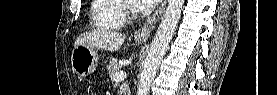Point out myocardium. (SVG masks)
Instances as JSON below:
<instances>
[{
  "label": "myocardium",
  "mask_w": 277,
  "mask_h": 95,
  "mask_svg": "<svg viewBox=\"0 0 277 95\" xmlns=\"http://www.w3.org/2000/svg\"><path fill=\"white\" fill-rule=\"evenodd\" d=\"M120 9L122 14L130 19H135L143 13L142 10L137 8L133 0H122Z\"/></svg>",
  "instance_id": "f54148a6"
}]
</instances>
